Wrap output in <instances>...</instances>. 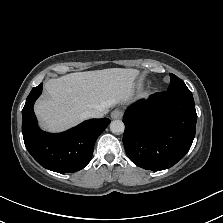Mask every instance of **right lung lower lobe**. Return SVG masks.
Returning a JSON list of instances; mask_svg holds the SVG:
<instances>
[{"mask_svg":"<svg viewBox=\"0 0 223 223\" xmlns=\"http://www.w3.org/2000/svg\"><path fill=\"white\" fill-rule=\"evenodd\" d=\"M42 84L34 87L22 110V133L25 146L44 168L58 173H72L84 168L91 160L98 136L110 123L107 118L91 119L58 134L42 131L33 111Z\"/></svg>","mask_w":223,"mask_h":223,"instance_id":"1","label":"right lung lower lobe"}]
</instances>
